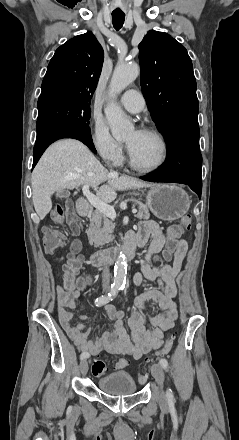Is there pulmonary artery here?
<instances>
[{"mask_svg":"<svg viewBox=\"0 0 239 440\" xmlns=\"http://www.w3.org/2000/svg\"><path fill=\"white\" fill-rule=\"evenodd\" d=\"M122 106L130 112H140L145 106V101L137 90H127L121 97Z\"/></svg>","mask_w":239,"mask_h":440,"instance_id":"pulmonary-artery-1","label":"pulmonary artery"}]
</instances>
